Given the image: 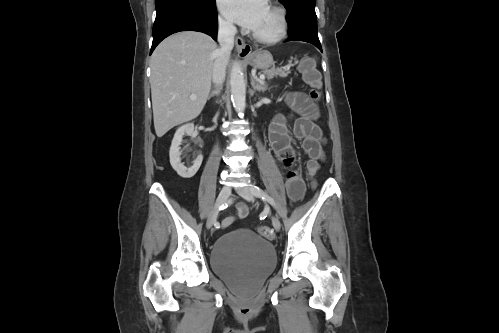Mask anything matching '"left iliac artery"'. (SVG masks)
<instances>
[{"label": "left iliac artery", "mask_w": 499, "mask_h": 333, "mask_svg": "<svg viewBox=\"0 0 499 333\" xmlns=\"http://www.w3.org/2000/svg\"><path fill=\"white\" fill-rule=\"evenodd\" d=\"M250 189H251V192L253 193V195H255L256 197L261 198L263 201H266L269 204H271L273 207H275V201H274V199L272 197H270L260 187H258V186H252Z\"/></svg>", "instance_id": "44dca946"}]
</instances>
